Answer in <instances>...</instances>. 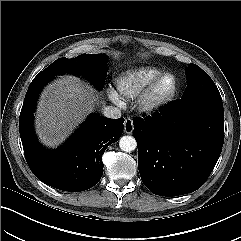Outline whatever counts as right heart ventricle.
I'll return each mask as SVG.
<instances>
[{
    "label": "right heart ventricle",
    "instance_id": "obj_1",
    "mask_svg": "<svg viewBox=\"0 0 241 241\" xmlns=\"http://www.w3.org/2000/svg\"><path fill=\"white\" fill-rule=\"evenodd\" d=\"M161 73L159 68L152 66L127 70L119 74L114 80L116 93L123 99H134Z\"/></svg>",
    "mask_w": 241,
    "mask_h": 241
}]
</instances>
